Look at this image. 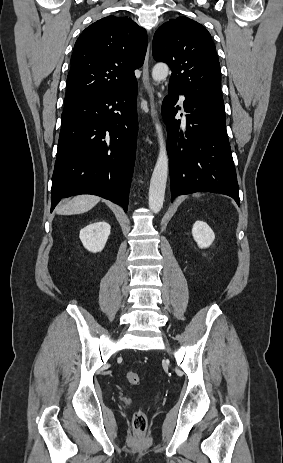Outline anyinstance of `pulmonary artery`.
I'll return each mask as SVG.
<instances>
[{"instance_id": "1", "label": "pulmonary artery", "mask_w": 283, "mask_h": 463, "mask_svg": "<svg viewBox=\"0 0 283 463\" xmlns=\"http://www.w3.org/2000/svg\"><path fill=\"white\" fill-rule=\"evenodd\" d=\"M179 102H180V105L183 106L184 96L179 95Z\"/></svg>"}]
</instances>
